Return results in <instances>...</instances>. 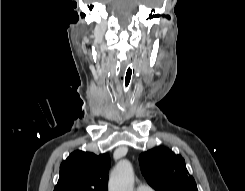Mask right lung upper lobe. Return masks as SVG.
I'll return each mask as SVG.
<instances>
[{
  "mask_svg": "<svg viewBox=\"0 0 245 191\" xmlns=\"http://www.w3.org/2000/svg\"><path fill=\"white\" fill-rule=\"evenodd\" d=\"M110 157L74 151L62 162L54 191H107Z\"/></svg>",
  "mask_w": 245,
  "mask_h": 191,
  "instance_id": "cb5924a9",
  "label": "right lung upper lobe"
}]
</instances>
